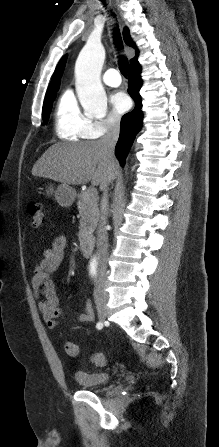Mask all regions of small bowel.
<instances>
[{"label":"small bowel","mask_w":219,"mask_h":447,"mask_svg":"<svg viewBox=\"0 0 219 447\" xmlns=\"http://www.w3.org/2000/svg\"><path fill=\"white\" fill-rule=\"evenodd\" d=\"M67 246L68 242L65 237H56L31 270L30 284L34 295L39 299L38 308L42 313L43 320L50 329L56 328L59 325L58 319L65 315V311L58 306L56 286L52 275L61 266ZM94 319V310L88 301L85 310L77 315L73 321L90 323Z\"/></svg>","instance_id":"obj_1"}]
</instances>
